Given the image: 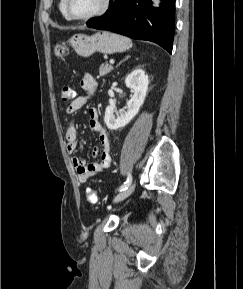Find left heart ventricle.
I'll list each match as a JSON object with an SVG mask.
<instances>
[{"label": "left heart ventricle", "instance_id": "obj_1", "mask_svg": "<svg viewBox=\"0 0 243 289\" xmlns=\"http://www.w3.org/2000/svg\"><path fill=\"white\" fill-rule=\"evenodd\" d=\"M103 0H70V11L75 16H87L98 11Z\"/></svg>", "mask_w": 243, "mask_h": 289}]
</instances>
